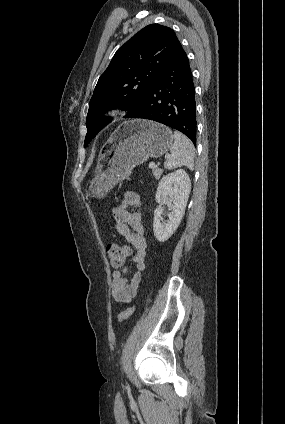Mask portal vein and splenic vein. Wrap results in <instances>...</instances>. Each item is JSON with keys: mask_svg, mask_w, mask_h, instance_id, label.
<instances>
[{"mask_svg": "<svg viewBox=\"0 0 285 424\" xmlns=\"http://www.w3.org/2000/svg\"><path fill=\"white\" fill-rule=\"evenodd\" d=\"M149 167L154 168V167H156V164H155L154 162H151V163L149 164Z\"/></svg>", "mask_w": 285, "mask_h": 424, "instance_id": "1", "label": "portal vein and splenic vein"}]
</instances>
